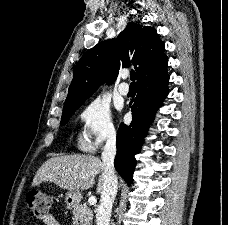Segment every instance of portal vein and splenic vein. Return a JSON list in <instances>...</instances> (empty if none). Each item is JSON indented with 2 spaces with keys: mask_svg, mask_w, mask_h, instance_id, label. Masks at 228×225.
<instances>
[{
  "mask_svg": "<svg viewBox=\"0 0 228 225\" xmlns=\"http://www.w3.org/2000/svg\"><path fill=\"white\" fill-rule=\"evenodd\" d=\"M83 179H84V177H83ZM88 203H89V205H96V203H97L96 197H89Z\"/></svg>",
  "mask_w": 228,
  "mask_h": 225,
  "instance_id": "obj_1",
  "label": "portal vein and splenic vein"
}]
</instances>
